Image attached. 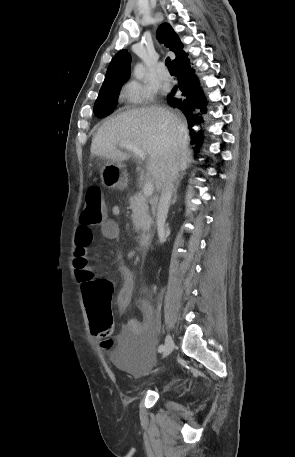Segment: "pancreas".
I'll return each instance as SVG.
<instances>
[{"label": "pancreas", "mask_w": 295, "mask_h": 457, "mask_svg": "<svg viewBox=\"0 0 295 457\" xmlns=\"http://www.w3.org/2000/svg\"><path fill=\"white\" fill-rule=\"evenodd\" d=\"M129 204L133 212L131 218L135 231H149L153 220L150 216L147 197L142 192H139L130 197Z\"/></svg>", "instance_id": "1"}]
</instances>
